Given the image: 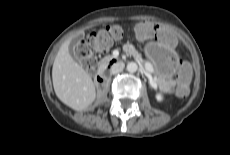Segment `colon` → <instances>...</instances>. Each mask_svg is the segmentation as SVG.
<instances>
[{"mask_svg": "<svg viewBox=\"0 0 230 155\" xmlns=\"http://www.w3.org/2000/svg\"><path fill=\"white\" fill-rule=\"evenodd\" d=\"M123 37V29L119 25H108L103 29L95 31L84 38L76 47L77 55L83 60L88 69H93L96 65V58L92 51H106L113 41ZM190 75L189 66L180 62L177 69L179 84L177 93L184 96L187 93V81Z\"/></svg>", "mask_w": 230, "mask_h": 155, "instance_id": "1", "label": "colon"}]
</instances>
